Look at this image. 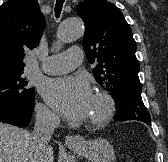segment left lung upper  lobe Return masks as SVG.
<instances>
[{
	"label": "left lung upper lobe",
	"mask_w": 168,
	"mask_h": 162,
	"mask_svg": "<svg viewBox=\"0 0 168 162\" xmlns=\"http://www.w3.org/2000/svg\"><path fill=\"white\" fill-rule=\"evenodd\" d=\"M85 23L83 48L98 84L115 101L140 96L136 42L122 12L106 0H86L76 8Z\"/></svg>",
	"instance_id": "obj_1"
}]
</instances>
